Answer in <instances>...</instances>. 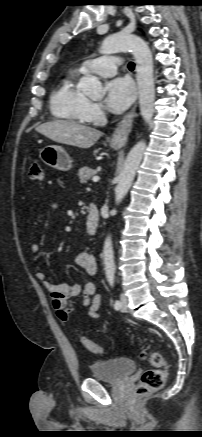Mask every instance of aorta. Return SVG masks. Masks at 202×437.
I'll use <instances>...</instances> for the list:
<instances>
[{
    "label": "aorta",
    "mask_w": 202,
    "mask_h": 437,
    "mask_svg": "<svg viewBox=\"0 0 202 437\" xmlns=\"http://www.w3.org/2000/svg\"><path fill=\"white\" fill-rule=\"evenodd\" d=\"M120 51H129L134 56L140 113L145 122H150L154 114L155 101L152 53L142 38L124 32L106 37L100 48V53L102 54H112ZM79 87L85 95L91 98H101L104 95L101 82L94 76L82 78L79 82ZM145 148L146 143L141 140L128 153L115 188L116 204L123 200L130 189L136 170L143 158ZM113 212L116 211L114 210ZM103 257L106 277L113 278L115 264L111 236H107L105 239Z\"/></svg>",
    "instance_id": "obj_1"
}]
</instances>
